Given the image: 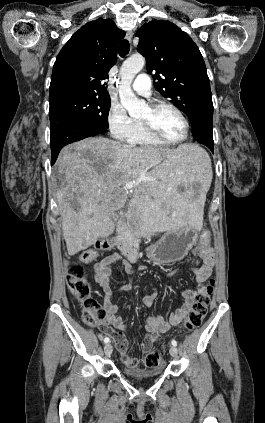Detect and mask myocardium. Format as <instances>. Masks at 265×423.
<instances>
[{
	"mask_svg": "<svg viewBox=\"0 0 265 423\" xmlns=\"http://www.w3.org/2000/svg\"><path fill=\"white\" fill-rule=\"evenodd\" d=\"M149 108L152 112H156V111L160 110L161 108H169V109L173 110L182 119V121L184 123V127H185V133H184V136L179 140H170V139H167L166 137H164L156 129V127L154 126V124L151 121H140L141 125L143 126L144 130L146 131V133L148 135H150L154 139H156L159 142L166 144V145H178V144L185 142L188 139L189 134H190V123H189V120H188L187 116L185 115V113L179 107H177L176 105H174L170 102L158 101V102H154V103L150 104Z\"/></svg>",
	"mask_w": 265,
	"mask_h": 423,
	"instance_id": "f54148a6",
	"label": "myocardium"
}]
</instances>
